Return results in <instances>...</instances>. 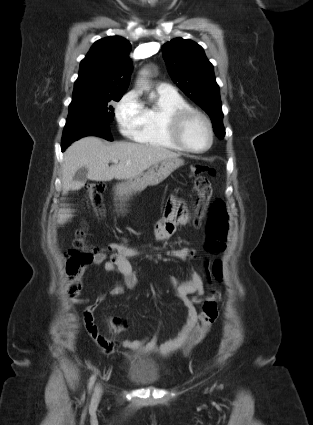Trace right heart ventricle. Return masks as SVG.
Wrapping results in <instances>:
<instances>
[{
  "label": "right heart ventricle",
  "instance_id": "1",
  "mask_svg": "<svg viewBox=\"0 0 313 425\" xmlns=\"http://www.w3.org/2000/svg\"><path fill=\"white\" fill-rule=\"evenodd\" d=\"M189 107L177 92L156 90L149 106H143V123L133 136L134 140L152 147L183 151L172 139L169 131V117L179 109Z\"/></svg>",
  "mask_w": 313,
  "mask_h": 425
}]
</instances>
